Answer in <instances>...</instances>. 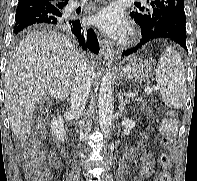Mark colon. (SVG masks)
Masks as SVG:
<instances>
[{"label":"colon","instance_id":"5ec220e1","mask_svg":"<svg viewBox=\"0 0 197 181\" xmlns=\"http://www.w3.org/2000/svg\"><path fill=\"white\" fill-rule=\"evenodd\" d=\"M176 130L177 122L175 114L170 113L162 122L163 143L165 147L169 146L176 133ZM161 163L163 165V171L159 175L157 181H170V158L167 152L162 153ZM22 168L31 181L49 180L48 172L43 168L40 152H38L36 149L30 148L25 152Z\"/></svg>","mask_w":197,"mask_h":181}]
</instances>
